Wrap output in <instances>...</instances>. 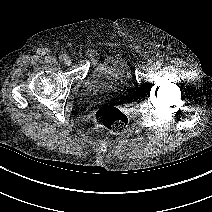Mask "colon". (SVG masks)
Segmentation results:
<instances>
[{
  "instance_id": "colon-1",
  "label": "colon",
  "mask_w": 212,
  "mask_h": 212,
  "mask_svg": "<svg viewBox=\"0 0 212 212\" xmlns=\"http://www.w3.org/2000/svg\"><path fill=\"white\" fill-rule=\"evenodd\" d=\"M128 122V116L124 112L111 106L100 108L94 116L95 125L111 133L123 132Z\"/></svg>"
}]
</instances>
